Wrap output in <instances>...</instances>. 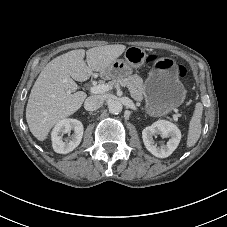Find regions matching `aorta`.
<instances>
[{"mask_svg":"<svg viewBox=\"0 0 227 227\" xmlns=\"http://www.w3.org/2000/svg\"><path fill=\"white\" fill-rule=\"evenodd\" d=\"M108 109L111 114H119L123 109V105L118 100H112L108 104Z\"/></svg>","mask_w":227,"mask_h":227,"instance_id":"obj_1","label":"aorta"}]
</instances>
